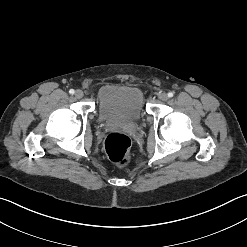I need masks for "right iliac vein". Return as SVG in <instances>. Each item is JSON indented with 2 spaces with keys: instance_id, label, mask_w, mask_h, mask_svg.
<instances>
[{
  "instance_id": "right-iliac-vein-1",
  "label": "right iliac vein",
  "mask_w": 247,
  "mask_h": 247,
  "mask_svg": "<svg viewBox=\"0 0 247 247\" xmlns=\"http://www.w3.org/2000/svg\"><path fill=\"white\" fill-rule=\"evenodd\" d=\"M83 92L81 91V90H77L76 92H75V97L77 98V99H80V98H82L83 97Z\"/></svg>"
}]
</instances>
